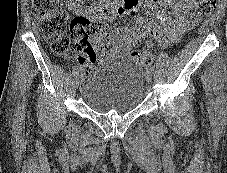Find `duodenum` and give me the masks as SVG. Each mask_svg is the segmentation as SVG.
Segmentation results:
<instances>
[{
	"mask_svg": "<svg viewBox=\"0 0 227 173\" xmlns=\"http://www.w3.org/2000/svg\"><path fill=\"white\" fill-rule=\"evenodd\" d=\"M132 0H115L106 2L101 7V12L105 18H113L123 13L124 9L130 5Z\"/></svg>",
	"mask_w": 227,
	"mask_h": 173,
	"instance_id": "1",
	"label": "duodenum"
}]
</instances>
